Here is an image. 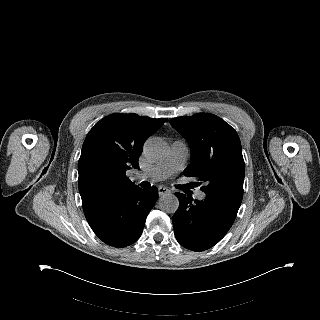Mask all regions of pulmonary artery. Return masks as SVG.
Listing matches in <instances>:
<instances>
[{
    "label": "pulmonary artery",
    "mask_w": 320,
    "mask_h": 320,
    "mask_svg": "<svg viewBox=\"0 0 320 320\" xmlns=\"http://www.w3.org/2000/svg\"><path fill=\"white\" fill-rule=\"evenodd\" d=\"M187 156L188 147L186 143L181 140H176L172 143L169 155L164 163L155 165L144 172L138 173L136 178L152 182L166 179L185 164ZM197 198L199 200H204V192H198Z\"/></svg>",
    "instance_id": "e3ab8cb5"
}]
</instances>
